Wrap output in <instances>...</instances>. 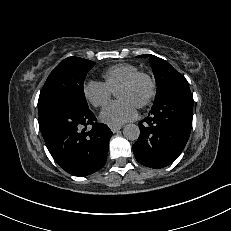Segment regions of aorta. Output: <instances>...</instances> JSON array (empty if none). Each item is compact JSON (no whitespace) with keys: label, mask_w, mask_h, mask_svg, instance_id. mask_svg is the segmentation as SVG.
I'll return each instance as SVG.
<instances>
[{"label":"aorta","mask_w":231,"mask_h":231,"mask_svg":"<svg viewBox=\"0 0 231 231\" xmlns=\"http://www.w3.org/2000/svg\"><path fill=\"white\" fill-rule=\"evenodd\" d=\"M123 135L126 139L135 141L139 138L140 129L136 124H127L123 129Z\"/></svg>","instance_id":"762f6f07"}]
</instances>
